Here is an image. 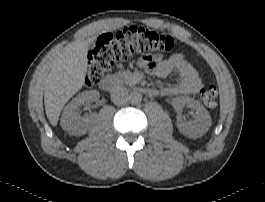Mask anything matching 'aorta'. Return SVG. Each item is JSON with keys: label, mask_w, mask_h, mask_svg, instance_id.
I'll list each match as a JSON object with an SVG mask.
<instances>
[{"label": "aorta", "mask_w": 265, "mask_h": 202, "mask_svg": "<svg viewBox=\"0 0 265 202\" xmlns=\"http://www.w3.org/2000/svg\"><path fill=\"white\" fill-rule=\"evenodd\" d=\"M142 101V94L138 91H133L130 93L129 95V102L132 105H138L140 104Z\"/></svg>", "instance_id": "aorta-1"}]
</instances>
